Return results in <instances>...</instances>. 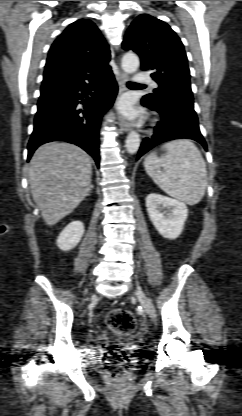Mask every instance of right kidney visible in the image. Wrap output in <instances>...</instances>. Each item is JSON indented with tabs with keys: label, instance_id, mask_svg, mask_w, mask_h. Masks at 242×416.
<instances>
[{
	"label": "right kidney",
	"instance_id": "right-kidney-1",
	"mask_svg": "<svg viewBox=\"0 0 242 416\" xmlns=\"http://www.w3.org/2000/svg\"><path fill=\"white\" fill-rule=\"evenodd\" d=\"M84 234V224L81 221H72L59 234L57 246L64 251L73 249Z\"/></svg>",
	"mask_w": 242,
	"mask_h": 416
}]
</instances>
